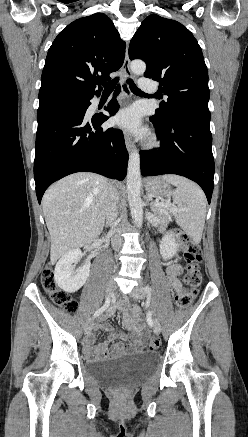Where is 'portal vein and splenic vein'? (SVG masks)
I'll use <instances>...</instances> for the list:
<instances>
[{
    "label": "portal vein and splenic vein",
    "mask_w": 248,
    "mask_h": 437,
    "mask_svg": "<svg viewBox=\"0 0 248 437\" xmlns=\"http://www.w3.org/2000/svg\"><path fill=\"white\" fill-rule=\"evenodd\" d=\"M156 205H157V206H160V207L168 208V205H165V204H162V203H156ZM171 210H172V211H175L176 209L171 208ZM92 216H94V214H92Z\"/></svg>",
    "instance_id": "1"
}]
</instances>
